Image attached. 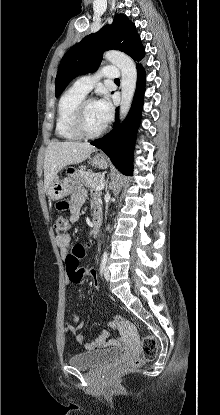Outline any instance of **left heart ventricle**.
Instances as JSON below:
<instances>
[{"instance_id":"1","label":"left heart ventricle","mask_w":220,"mask_h":415,"mask_svg":"<svg viewBox=\"0 0 220 415\" xmlns=\"http://www.w3.org/2000/svg\"><path fill=\"white\" fill-rule=\"evenodd\" d=\"M84 126L91 133L98 131L104 126L97 115L95 102L89 103L85 108Z\"/></svg>"}]
</instances>
